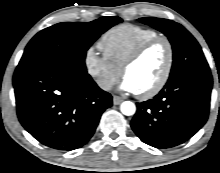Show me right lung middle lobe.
I'll return each instance as SVG.
<instances>
[{
    "label": "right lung middle lobe",
    "instance_id": "right-lung-middle-lobe-1",
    "mask_svg": "<svg viewBox=\"0 0 220 173\" xmlns=\"http://www.w3.org/2000/svg\"><path fill=\"white\" fill-rule=\"evenodd\" d=\"M120 22L121 18L108 16L92 22H62L48 27L31 39L18 66L56 63L87 73L86 51L101 34Z\"/></svg>",
    "mask_w": 220,
    "mask_h": 173
}]
</instances>
